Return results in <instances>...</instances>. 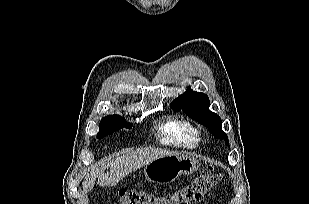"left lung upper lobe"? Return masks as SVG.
I'll use <instances>...</instances> for the list:
<instances>
[{"mask_svg": "<svg viewBox=\"0 0 309 204\" xmlns=\"http://www.w3.org/2000/svg\"><path fill=\"white\" fill-rule=\"evenodd\" d=\"M209 98L201 92L187 88L186 92L176 98L170 105L174 111L183 110L187 115L206 126L219 139L229 145L227 135L222 131L221 118L209 110Z\"/></svg>", "mask_w": 309, "mask_h": 204, "instance_id": "obj_1", "label": "left lung upper lobe"}]
</instances>
